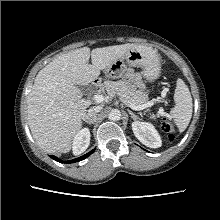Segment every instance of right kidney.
<instances>
[{
  "label": "right kidney",
  "mask_w": 220,
  "mask_h": 220,
  "mask_svg": "<svg viewBox=\"0 0 220 220\" xmlns=\"http://www.w3.org/2000/svg\"><path fill=\"white\" fill-rule=\"evenodd\" d=\"M90 144V131L88 128L81 129L73 140V153L79 155L83 153Z\"/></svg>",
  "instance_id": "1"
}]
</instances>
